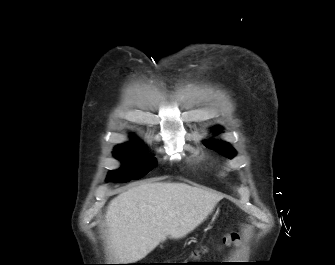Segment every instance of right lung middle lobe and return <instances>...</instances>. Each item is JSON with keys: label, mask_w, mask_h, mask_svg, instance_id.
Instances as JSON below:
<instances>
[{"label": "right lung middle lobe", "mask_w": 335, "mask_h": 265, "mask_svg": "<svg viewBox=\"0 0 335 265\" xmlns=\"http://www.w3.org/2000/svg\"><path fill=\"white\" fill-rule=\"evenodd\" d=\"M113 155L115 158L124 163L123 168L126 170V175L118 182H128L136 180L156 166V160L146 154L140 153L137 146L133 144L119 145L114 149ZM119 176L118 172L111 171L107 177V181H112Z\"/></svg>", "instance_id": "obj_1"}]
</instances>
